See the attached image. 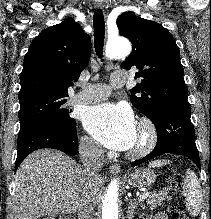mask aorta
Segmentation results:
<instances>
[{"instance_id":"1","label":"aorta","mask_w":211,"mask_h":219,"mask_svg":"<svg viewBox=\"0 0 211 219\" xmlns=\"http://www.w3.org/2000/svg\"><path fill=\"white\" fill-rule=\"evenodd\" d=\"M130 52V42L125 39L117 38L108 42L106 46V55L109 58L126 57L130 54ZM118 190V181L113 179L108 185L103 201L102 219H119Z\"/></svg>"}]
</instances>
